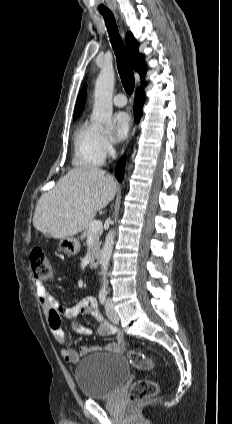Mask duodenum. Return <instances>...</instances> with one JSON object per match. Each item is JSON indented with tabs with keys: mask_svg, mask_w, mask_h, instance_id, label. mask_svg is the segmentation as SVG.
<instances>
[{
	"mask_svg": "<svg viewBox=\"0 0 232 424\" xmlns=\"http://www.w3.org/2000/svg\"><path fill=\"white\" fill-rule=\"evenodd\" d=\"M100 262V252L99 251H94L92 253L91 259L89 261V267L91 269H95L98 267Z\"/></svg>",
	"mask_w": 232,
	"mask_h": 424,
	"instance_id": "1",
	"label": "duodenum"
}]
</instances>
